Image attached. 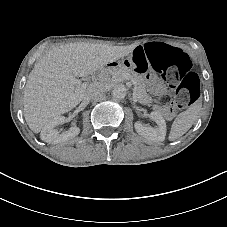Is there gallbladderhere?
I'll return each instance as SVG.
<instances>
[{"label":"gallbladder","mask_w":227,"mask_h":227,"mask_svg":"<svg viewBox=\"0 0 227 227\" xmlns=\"http://www.w3.org/2000/svg\"><path fill=\"white\" fill-rule=\"evenodd\" d=\"M85 81H86L87 83H90V82H91V78L88 77V78L85 79Z\"/></svg>","instance_id":"gallbladder-1"}]
</instances>
